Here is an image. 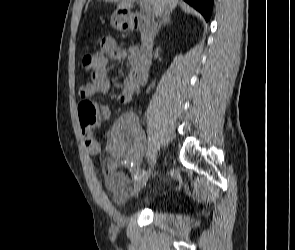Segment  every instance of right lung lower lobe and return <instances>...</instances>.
<instances>
[{
	"label": "right lung lower lobe",
	"instance_id": "obj_1",
	"mask_svg": "<svg viewBox=\"0 0 295 250\" xmlns=\"http://www.w3.org/2000/svg\"><path fill=\"white\" fill-rule=\"evenodd\" d=\"M202 13L208 21L212 11L213 0H184Z\"/></svg>",
	"mask_w": 295,
	"mask_h": 250
}]
</instances>
